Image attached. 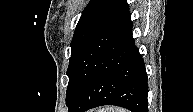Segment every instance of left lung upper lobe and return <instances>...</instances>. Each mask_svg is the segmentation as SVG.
<instances>
[{
    "mask_svg": "<svg viewBox=\"0 0 193 112\" xmlns=\"http://www.w3.org/2000/svg\"><path fill=\"white\" fill-rule=\"evenodd\" d=\"M127 6L126 0H91L88 3L71 42V57L67 69L69 77L86 46Z\"/></svg>",
    "mask_w": 193,
    "mask_h": 112,
    "instance_id": "5c2ea615",
    "label": "left lung upper lobe"
}]
</instances>
